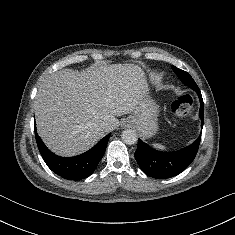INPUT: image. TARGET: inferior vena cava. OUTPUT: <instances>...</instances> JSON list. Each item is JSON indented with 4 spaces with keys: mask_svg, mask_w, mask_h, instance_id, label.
Here are the masks:
<instances>
[{
    "mask_svg": "<svg viewBox=\"0 0 235 235\" xmlns=\"http://www.w3.org/2000/svg\"><path fill=\"white\" fill-rule=\"evenodd\" d=\"M108 126L107 122H102L101 123V128L105 129Z\"/></svg>",
    "mask_w": 235,
    "mask_h": 235,
    "instance_id": "602c4592",
    "label": "inferior vena cava"
}]
</instances>
